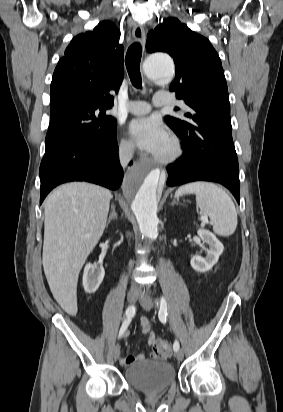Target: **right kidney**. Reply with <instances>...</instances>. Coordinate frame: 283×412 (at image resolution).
<instances>
[{
	"label": "right kidney",
	"instance_id": "obj_1",
	"mask_svg": "<svg viewBox=\"0 0 283 412\" xmlns=\"http://www.w3.org/2000/svg\"><path fill=\"white\" fill-rule=\"evenodd\" d=\"M105 271L103 266H98L96 263L86 264L83 272V287L86 293L92 294L96 292L103 281Z\"/></svg>",
	"mask_w": 283,
	"mask_h": 412
}]
</instances>
